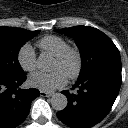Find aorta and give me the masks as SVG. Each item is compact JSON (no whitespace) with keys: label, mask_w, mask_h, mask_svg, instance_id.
Listing matches in <instances>:
<instances>
[{"label":"aorta","mask_w":128,"mask_h":128,"mask_svg":"<svg viewBox=\"0 0 128 128\" xmlns=\"http://www.w3.org/2000/svg\"><path fill=\"white\" fill-rule=\"evenodd\" d=\"M37 67L44 72H48L53 67V59L45 53L40 54L37 59ZM68 100L64 94L55 93L51 98V105L52 107L57 110L61 111L67 107Z\"/></svg>","instance_id":"aorta-1"}]
</instances>
